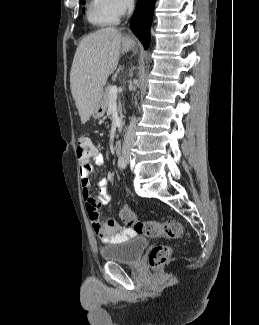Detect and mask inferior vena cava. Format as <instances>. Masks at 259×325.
Here are the masks:
<instances>
[{
  "instance_id": "1",
  "label": "inferior vena cava",
  "mask_w": 259,
  "mask_h": 325,
  "mask_svg": "<svg viewBox=\"0 0 259 325\" xmlns=\"http://www.w3.org/2000/svg\"><path fill=\"white\" fill-rule=\"evenodd\" d=\"M128 15L130 16L134 9V0H126ZM136 118L132 117L124 137L123 149H129L135 144Z\"/></svg>"
}]
</instances>
